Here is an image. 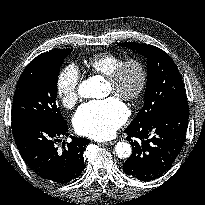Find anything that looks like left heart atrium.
<instances>
[{
  "instance_id": "obj_1",
  "label": "left heart atrium",
  "mask_w": 205,
  "mask_h": 205,
  "mask_svg": "<svg viewBox=\"0 0 205 205\" xmlns=\"http://www.w3.org/2000/svg\"><path fill=\"white\" fill-rule=\"evenodd\" d=\"M128 117L125 104L117 97L83 104L73 120L76 131L84 136L104 140L110 138Z\"/></svg>"
}]
</instances>
